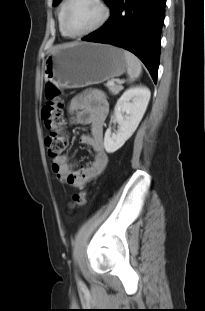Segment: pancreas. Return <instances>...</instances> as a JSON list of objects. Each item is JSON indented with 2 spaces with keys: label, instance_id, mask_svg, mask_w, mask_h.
<instances>
[{
  "label": "pancreas",
  "instance_id": "obj_1",
  "mask_svg": "<svg viewBox=\"0 0 205 311\" xmlns=\"http://www.w3.org/2000/svg\"><path fill=\"white\" fill-rule=\"evenodd\" d=\"M107 87L113 95H117L123 89L122 85L120 84L109 85L108 83Z\"/></svg>",
  "mask_w": 205,
  "mask_h": 311
}]
</instances>
